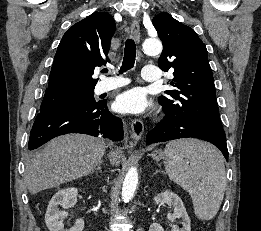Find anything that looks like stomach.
Here are the masks:
<instances>
[{
	"instance_id": "obj_1",
	"label": "stomach",
	"mask_w": 261,
	"mask_h": 231,
	"mask_svg": "<svg viewBox=\"0 0 261 231\" xmlns=\"http://www.w3.org/2000/svg\"><path fill=\"white\" fill-rule=\"evenodd\" d=\"M152 158L156 161H160L166 157L165 151L163 150H155L151 154Z\"/></svg>"
}]
</instances>
